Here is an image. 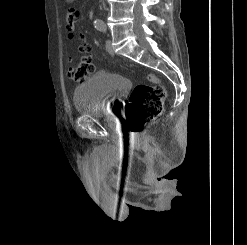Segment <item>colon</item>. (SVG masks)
<instances>
[{
	"label": "colon",
	"mask_w": 247,
	"mask_h": 245,
	"mask_svg": "<svg viewBox=\"0 0 247 245\" xmlns=\"http://www.w3.org/2000/svg\"><path fill=\"white\" fill-rule=\"evenodd\" d=\"M82 53L81 61L77 66L69 67L68 77L75 82L84 81L95 71L92 63V48L83 43L79 47ZM152 85L139 84L132 90L126 107V126L132 133H139L151 120L157 118L163 111L166 99V90L154 75L148 76Z\"/></svg>",
	"instance_id": "5ec220e1"
}]
</instances>
